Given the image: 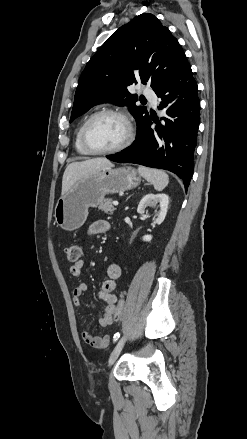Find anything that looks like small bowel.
Masks as SVG:
<instances>
[{"instance_id":"1","label":"small bowel","mask_w":247,"mask_h":439,"mask_svg":"<svg viewBox=\"0 0 247 439\" xmlns=\"http://www.w3.org/2000/svg\"><path fill=\"white\" fill-rule=\"evenodd\" d=\"M110 229V223L106 220H97L93 222L88 229L90 235H99L107 232ZM84 266V260L79 259L70 266V274L73 277H79ZM121 276V268L117 264H110L107 268V279L103 282L99 291V297L105 302L106 307L102 316L99 318V324L102 327H108L113 323L112 315L114 312L117 298L113 294L116 287V282ZM87 290V285L84 282H78L72 292V302L76 307L81 304V297ZM83 326V322H82ZM82 338L86 344L93 348L103 349L109 344V336H93L86 329L82 330Z\"/></svg>"}]
</instances>
